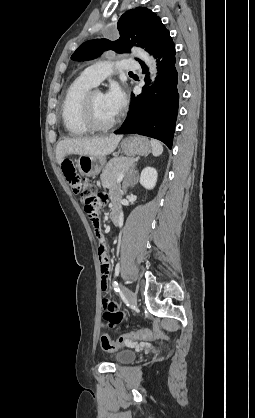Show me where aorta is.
<instances>
[{
	"instance_id": "1",
	"label": "aorta",
	"mask_w": 255,
	"mask_h": 418,
	"mask_svg": "<svg viewBox=\"0 0 255 418\" xmlns=\"http://www.w3.org/2000/svg\"><path fill=\"white\" fill-rule=\"evenodd\" d=\"M133 52L140 59H142L146 63V65L149 67V71H150V74H151V79L153 81L155 76H156V64H155V61H154L153 57H151L147 52H145L144 50H142L140 48H134Z\"/></svg>"
}]
</instances>
